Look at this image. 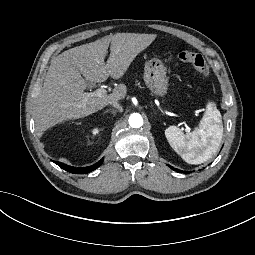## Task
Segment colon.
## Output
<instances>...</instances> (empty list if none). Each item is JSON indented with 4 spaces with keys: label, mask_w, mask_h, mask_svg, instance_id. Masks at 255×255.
Instances as JSON below:
<instances>
[{
    "label": "colon",
    "mask_w": 255,
    "mask_h": 255,
    "mask_svg": "<svg viewBox=\"0 0 255 255\" xmlns=\"http://www.w3.org/2000/svg\"><path fill=\"white\" fill-rule=\"evenodd\" d=\"M176 57L182 62L191 64L201 77H208L209 67L200 54L190 49L179 48L176 50Z\"/></svg>",
    "instance_id": "5ec220e1"
}]
</instances>
